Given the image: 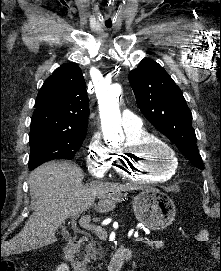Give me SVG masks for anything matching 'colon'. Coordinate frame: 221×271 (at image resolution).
<instances>
[{
    "label": "colon",
    "instance_id": "1",
    "mask_svg": "<svg viewBox=\"0 0 221 271\" xmlns=\"http://www.w3.org/2000/svg\"><path fill=\"white\" fill-rule=\"evenodd\" d=\"M16 265L11 261H4L0 263V271H17Z\"/></svg>",
    "mask_w": 221,
    "mask_h": 271
}]
</instances>
